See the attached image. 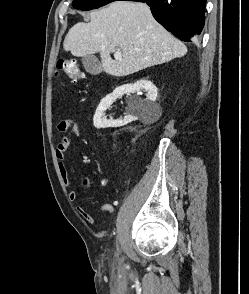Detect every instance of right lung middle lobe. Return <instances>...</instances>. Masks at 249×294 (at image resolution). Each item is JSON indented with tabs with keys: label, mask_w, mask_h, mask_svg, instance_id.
<instances>
[{
	"label": "right lung middle lobe",
	"mask_w": 249,
	"mask_h": 294,
	"mask_svg": "<svg viewBox=\"0 0 249 294\" xmlns=\"http://www.w3.org/2000/svg\"><path fill=\"white\" fill-rule=\"evenodd\" d=\"M116 0H74L73 7L82 10H91L102 7Z\"/></svg>",
	"instance_id": "1"
}]
</instances>
